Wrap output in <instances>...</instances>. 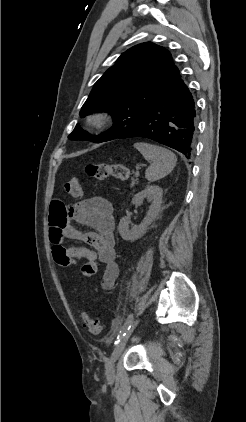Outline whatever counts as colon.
Listing matches in <instances>:
<instances>
[{
    "instance_id": "5ec220e1",
    "label": "colon",
    "mask_w": 246,
    "mask_h": 422,
    "mask_svg": "<svg viewBox=\"0 0 246 422\" xmlns=\"http://www.w3.org/2000/svg\"><path fill=\"white\" fill-rule=\"evenodd\" d=\"M86 175L95 180H105L108 177H115L119 180H126L129 176V170L126 166L120 163H100L88 164L85 167ZM67 193L74 198H80L83 195L81 182L78 178L72 177L65 184ZM55 262L61 267H68L73 263L71 257L62 248H57L53 252ZM97 272L96 262H86L81 269V274L86 278L93 277ZM83 326L94 335L100 334L103 330V324L89 316L85 311H80Z\"/></svg>"
}]
</instances>
